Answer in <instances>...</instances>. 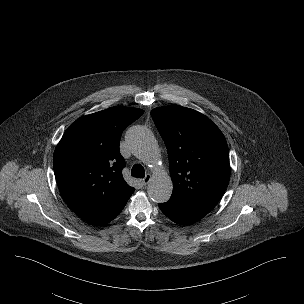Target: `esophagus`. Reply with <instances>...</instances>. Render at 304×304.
<instances>
[{"label": "esophagus", "mask_w": 304, "mask_h": 304, "mask_svg": "<svg viewBox=\"0 0 304 304\" xmlns=\"http://www.w3.org/2000/svg\"><path fill=\"white\" fill-rule=\"evenodd\" d=\"M151 174H146V176L141 180L143 185H147L151 180Z\"/></svg>", "instance_id": "obj_1"}]
</instances>
